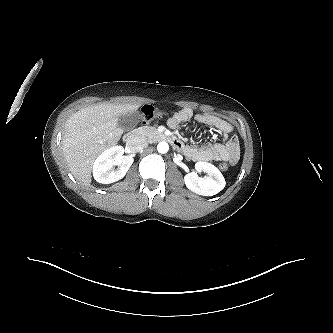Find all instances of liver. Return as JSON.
Listing matches in <instances>:
<instances>
[{
	"label": "liver",
	"mask_w": 333,
	"mask_h": 333,
	"mask_svg": "<svg viewBox=\"0 0 333 333\" xmlns=\"http://www.w3.org/2000/svg\"><path fill=\"white\" fill-rule=\"evenodd\" d=\"M140 104L101 103L72 114L62 136L64 159L73 176L91 183L92 168L101 152L120 140L123 129L118 117L136 111Z\"/></svg>",
	"instance_id": "obj_1"
}]
</instances>
